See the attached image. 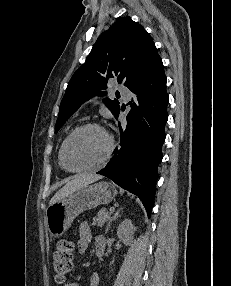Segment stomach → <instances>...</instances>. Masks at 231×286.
Segmentation results:
<instances>
[{"label": "stomach", "mask_w": 231, "mask_h": 286, "mask_svg": "<svg viewBox=\"0 0 231 286\" xmlns=\"http://www.w3.org/2000/svg\"><path fill=\"white\" fill-rule=\"evenodd\" d=\"M117 191L113 184L101 181L83 186L46 209V226L52 238L61 237L82 212L110 203Z\"/></svg>", "instance_id": "stomach-1"}]
</instances>
